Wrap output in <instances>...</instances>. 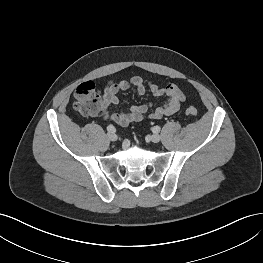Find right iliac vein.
Returning <instances> with one entry per match:
<instances>
[{
	"label": "right iliac vein",
	"instance_id": "1",
	"mask_svg": "<svg viewBox=\"0 0 263 263\" xmlns=\"http://www.w3.org/2000/svg\"><path fill=\"white\" fill-rule=\"evenodd\" d=\"M107 138L110 141H116L117 140V135L114 132H108L107 133Z\"/></svg>",
	"mask_w": 263,
	"mask_h": 263
}]
</instances>
